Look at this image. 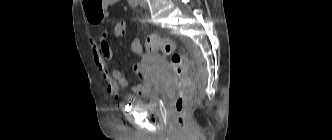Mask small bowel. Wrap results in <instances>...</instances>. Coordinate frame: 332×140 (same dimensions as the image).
Listing matches in <instances>:
<instances>
[{
    "label": "small bowel",
    "mask_w": 332,
    "mask_h": 140,
    "mask_svg": "<svg viewBox=\"0 0 332 140\" xmlns=\"http://www.w3.org/2000/svg\"><path fill=\"white\" fill-rule=\"evenodd\" d=\"M119 1L120 0H105L104 14H107L108 10ZM89 21L93 24L99 23L90 19ZM110 38L111 37L108 34L102 31L92 45L95 63L99 67L104 80L107 82V92L110 94H116L117 87L129 89L130 93L126 95V101L128 102H132L135 95L146 96L151 91V84L140 64H137L134 67L136 74L140 78V81L136 84H131L125 75L118 69H113L109 72L108 63L114 58L113 51L109 45ZM131 50L135 54H142L144 52L140 39L136 38L132 41Z\"/></svg>",
    "instance_id": "1"
}]
</instances>
